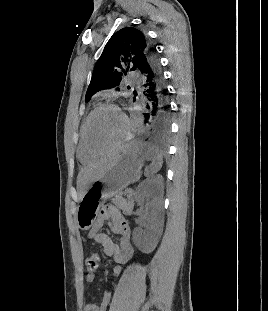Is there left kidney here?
Here are the masks:
<instances>
[{
    "label": "left kidney",
    "mask_w": 268,
    "mask_h": 311,
    "mask_svg": "<svg viewBox=\"0 0 268 311\" xmlns=\"http://www.w3.org/2000/svg\"><path fill=\"white\" fill-rule=\"evenodd\" d=\"M163 177L156 175L141 182L135 192V201L147 209L140 218V227L133 232L135 246L143 253H151L157 246L163 231Z\"/></svg>",
    "instance_id": "5707ae66"
}]
</instances>
